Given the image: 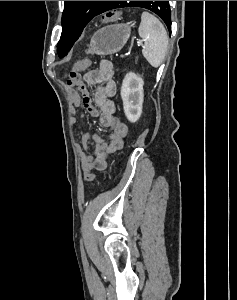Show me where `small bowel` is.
<instances>
[{
  "label": "small bowel",
  "mask_w": 237,
  "mask_h": 300,
  "mask_svg": "<svg viewBox=\"0 0 237 300\" xmlns=\"http://www.w3.org/2000/svg\"><path fill=\"white\" fill-rule=\"evenodd\" d=\"M115 65L110 60L100 62L98 68L86 73L80 78L77 86L81 92H71V100L74 106H83L85 111L92 117L98 118L100 124L111 130V134L106 140L99 135L81 133V144L83 150L80 151L81 165L85 173L92 169L103 171L108 166L109 157L124 145V140L128 134V126L115 116L116 103L113 97L116 93V82L113 79ZM87 85L95 86L93 96H90ZM76 122V118L71 120V124ZM95 146L94 155L88 150V144Z\"/></svg>",
  "instance_id": "c3829d8e"
}]
</instances>
